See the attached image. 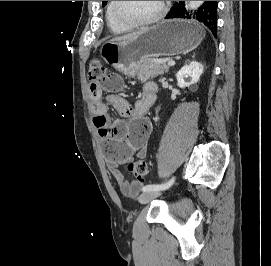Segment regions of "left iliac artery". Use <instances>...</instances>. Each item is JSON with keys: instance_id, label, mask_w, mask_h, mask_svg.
I'll list each match as a JSON object with an SVG mask.
<instances>
[{"instance_id": "left-iliac-artery-1", "label": "left iliac artery", "mask_w": 271, "mask_h": 266, "mask_svg": "<svg viewBox=\"0 0 271 266\" xmlns=\"http://www.w3.org/2000/svg\"><path fill=\"white\" fill-rule=\"evenodd\" d=\"M175 181V178L173 177L172 179H170L168 182L164 183V184H149L146 185L142 188L143 192L146 191H159V190H164L169 188Z\"/></svg>"}]
</instances>
